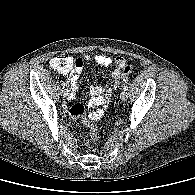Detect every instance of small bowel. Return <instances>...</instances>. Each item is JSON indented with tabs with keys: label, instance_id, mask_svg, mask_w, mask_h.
<instances>
[{
	"label": "small bowel",
	"instance_id": "1",
	"mask_svg": "<svg viewBox=\"0 0 195 195\" xmlns=\"http://www.w3.org/2000/svg\"><path fill=\"white\" fill-rule=\"evenodd\" d=\"M72 66L68 72V84L70 86V95L69 98L73 99L76 95L78 89V78L80 74L83 72L84 60L94 61L97 64L103 67H109L113 63L116 65V69H114L111 73V78L115 79L117 75L120 73L122 68L126 65V61L123 57H116L114 60L104 54H96L93 57L83 56L71 58ZM91 98L89 100V107L93 109L90 113L89 118L91 120L100 119L109 109L111 100H112V82L108 81L105 84L93 86L90 89ZM84 113V106L81 104H75L70 108V114L72 117L81 116Z\"/></svg>",
	"mask_w": 195,
	"mask_h": 195
}]
</instances>
